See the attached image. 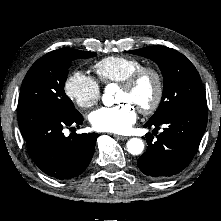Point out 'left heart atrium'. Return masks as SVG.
I'll use <instances>...</instances> for the list:
<instances>
[{
  "label": "left heart atrium",
  "instance_id": "1",
  "mask_svg": "<svg viewBox=\"0 0 221 221\" xmlns=\"http://www.w3.org/2000/svg\"><path fill=\"white\" fill-rule=\"evenodd\" d=\"M136 118V109L128 102L102 107L90 114V122L94 129L119 134L128 132Z\"/></svg>",
  "mask_w": 221,
  "mask_h": 221
}]
</instances>
